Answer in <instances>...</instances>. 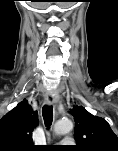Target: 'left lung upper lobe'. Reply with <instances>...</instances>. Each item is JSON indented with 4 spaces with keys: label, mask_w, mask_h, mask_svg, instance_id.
I'll use <instances>...</instances> for the list:
<instances>
[{
    "label": "left lung upper lobe",
    "mask_w": 118,
    "mask_h": 151,
    "mask_svg": "<svg viewBox=\"0 0 118 151\" xmlns=\"http://www.w3.org/2000/svg\"><path fill=\"white\" fill-rule=\"evenodd\" d=\"M71 114L75 118L77 150L118 151V138L105 119L90 114L82 106H74Z\"/></svg>",
    "instance_id": "obj_1"
}]
</instances>
